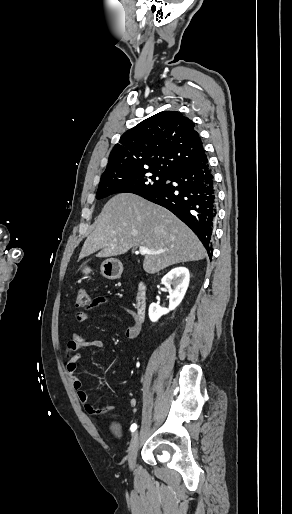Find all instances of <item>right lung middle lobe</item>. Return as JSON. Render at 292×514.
Returning <instances> with one entry per match:
<instances>
[{"label":"right lung middle lobe","mask_w":292,"mask_h":514,"mask_svg":"<svg viewBox=\"0 0 292 514\" xmlns=\"http://www.w3.org/2000/svg\"><path fill=\"white\" fill-rule=\"evenodd\" d=\"M169 177V174L152 171L100 180L96 198L102 199L115 193H134L143 196L165 184Z\"/></svg>","instance_id":"dd1d6c3e"}]
</instances>
